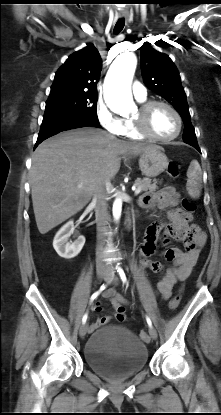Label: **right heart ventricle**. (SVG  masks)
<instances>
[{
  "instance_id": "right-heart-ventricle-1",
  "label": "right heart ventricle",
  "mask_w": 221,
  "mask_h": 415,
  "mask_svg": "<svg viewBox=\"0 0 221 415\" xmlns=\"http://www.w3.org/2000/svg\"><path fill=\"white\" fill-rule=\"evenodd\" d=\"M145 100L146 99L139 100V102L142 103ZM123 135L126 136L127 138L136 139V140H140V139H143L144 138L136 130L135 125H134V122H133V119H127V120H125V130H124Z\"/></svg>"
}]
</instances>
